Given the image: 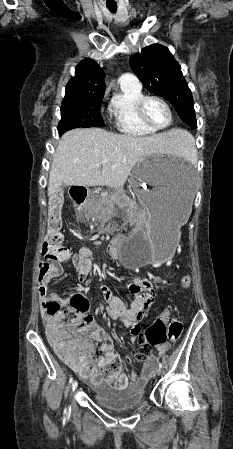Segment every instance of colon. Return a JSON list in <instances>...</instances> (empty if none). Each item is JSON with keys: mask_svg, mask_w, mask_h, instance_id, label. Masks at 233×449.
<instances>
[{"mask_svg": "<svg viewBox=\"0 0 233 449\" xmlns=\"http://www.w3.org/2000/svg\"><path fill=\"white\" fill-rule=\"evenodd\" d=\"M62 206L63 198L60 195H53L50 198L47 231L42 244L43 260L40 265L42 268L69 254L68 248L64 246ZM191 281V277L186 275L180 278L179 283L186 290L190 287ZM88 306L89 301L79 294L72 296L70 307L65 312L58 301L46 300L42 304L43 317L48 325V338L58 354L71 367L79 366L80 360L72 355L71 349L66 345V337H73L74 345L80 352L95 349L96 342L100 345L111 343L109 337L99 333L91 316L86 314ZM65 313L68 318L64 322ZM182 330L183 325L179 319L169 318L167 314L158 317L145 333L138 337L141 351L137 357L147 356L154 347L178 341ZM116 386L121 387V382L116 381Z\"/></svg>", "mask_w": 233, "mask_h": 449, "instance_id": "colon-1", "label": "colon"}]
</instances>
